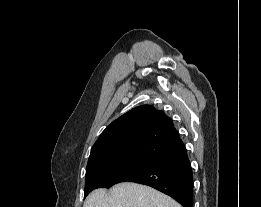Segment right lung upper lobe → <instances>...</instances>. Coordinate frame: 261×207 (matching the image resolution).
Listing matches in <instances>:
<instances>
[{
	"mask_svg": "<svg viewBox=\"0 0 261 207\" xmlns=\"http://www.w3.org/2000/svg\"><path fill=\"white\" fill-rule=\"evenodd\" d=\"M184 149L172 120L162 111L142 105L106 127L91 149L87 166L130 156L159 161Z\"/></svg>",
	"mask_w": 261,
	"mask_h": 207,
	"instance_id": "obj_1",
	"label": "right lung upper lobe"
}]
</instances>
